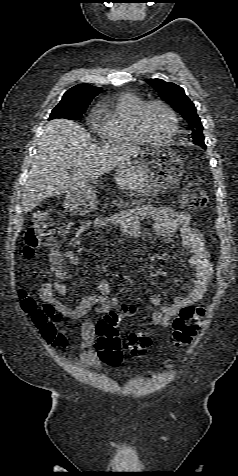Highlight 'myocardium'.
Returning <instances> with one entry per match:
<instances>
[{"mask_svg": "<svg viewBox=\"0 0 238 476\" xmlns=\"http://www.w3.org/2000/svg\"><path fill=\"white\" fill-rule=\"evenodd\" d=\"M154 105L163 107L168 112V114L170 115L172 119V129L170 133L162 139H155L151 137L148 134L144 125V117H145L146 111L151 106H154ZM135 125H136L137 132L145 140V142H149L152 144H165L171 141L173 137L177 134L179 130V118L175 110L168 103L159 99H151L148 101H144L142 105L138 108L136 117H135Z\"/></svg>", "mask_w": 238, "mask_h": 476, "instance_id": "f54148a6", "label": "myocardium"}]
</instances>
